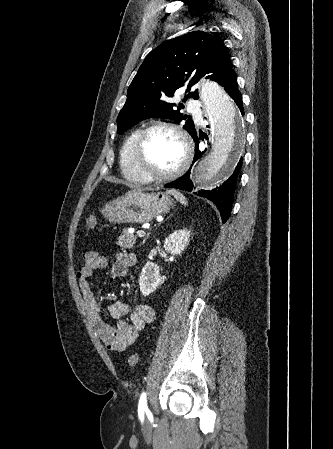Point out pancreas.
Returning a JSON list of instances; mask_svg holds the SVG:
<instances>
[{
    "instance_id": "1",
    "label": "pancreas",
    "mask_w": 333,
    "mask_h": 449,
    "mask_svg": "<svg viewBox=\"0 0 333 449\" xmlns=\"http://www.w3.org/2000/svg\"><path fill=\"white\" fill-rule=\"evenodd\" d=\"M136 242V236L124 229L122 235L119 236L117 244L123 248H132Z\"/></svg>"
}]
</instances>
